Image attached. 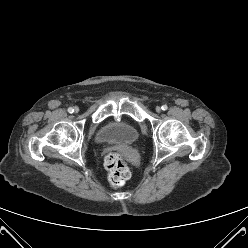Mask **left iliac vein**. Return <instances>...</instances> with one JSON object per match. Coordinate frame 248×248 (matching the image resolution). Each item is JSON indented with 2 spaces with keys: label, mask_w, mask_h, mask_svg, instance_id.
<instances>
[{
  "label": "left iliac vein",
  "mask_w": 248,
  "mask_h": 248,
  "mask_svg": "<svg viewBox=\"0 0 248 248\" xmlns=\"http://www.w3.org/2000/svg\"><path fill=\"white\" fill-rule=\"evenodd\" d=\"M156 112H157V113H160V112H161V107L157 106V107H156Z\"/></svg>",
  "instance_id": "obj_1"
}]
</instances>
